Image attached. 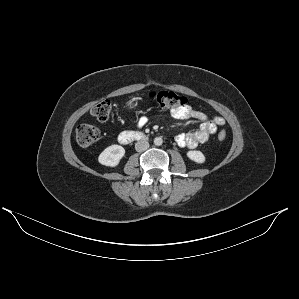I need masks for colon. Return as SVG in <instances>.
<instances>
[{"label": "colon", "instance_id": "obj_1", "mask_svg": "<svg viewBox=\"0 0 299 299\" xmlns=\"http://www.w3.org/2000/svg\"><path fill=\"white\" fill-rule=\"evenodd\" d=\"M150 100L161 110H172L184 106L186 99L184 96L169 90H153L149 93ZM111 113V103L109 100H101L91 110V114L99 121H105ZM99 129L91 124L80 125L76 129L75 138L79 145L89 146L98 140ZM227 134L221 131L218 134L220 141L225 140Z\"/></svg>", "mask_w": 299, "mask_h": 299}]
</instances>
